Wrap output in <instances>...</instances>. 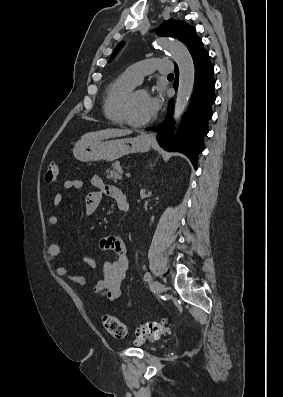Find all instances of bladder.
<instances>
[{"label": "bladder", "instance_id": "bladder-1", "mask_svg": "<svg viewBox=\"0 0 283 397\" xmlns=\"http://www.w3.org/2000/svg\"><path fill=\"white\" fill-rule=\"evenodd\" d=\"M147 350H152V348H147Z\"/></svg>", "mask_w": 283, "mask_h": 397}]
</instances>
